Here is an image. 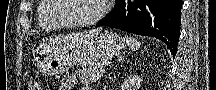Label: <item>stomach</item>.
<instances>
[{"label":"stomach","instance_id":"1","mask_svg":"<svg viewBox=\"0 0 216 90\" xmlns=\"http://www.w3.org/2000/svg\"><path fill=\"white\" fill-rule=\"evenodd\" d=\"M124 46V40L116 33L104 32L89 38L74 59L80 65L99 64L118 55ZM71 62L68 56L48 57L41 62L39 71L47 77L56 76L64 73Z\"/></svg>","mask_w":216,"mask_h":90}]
</instances>
